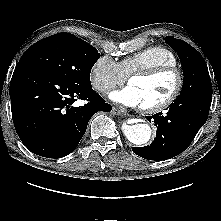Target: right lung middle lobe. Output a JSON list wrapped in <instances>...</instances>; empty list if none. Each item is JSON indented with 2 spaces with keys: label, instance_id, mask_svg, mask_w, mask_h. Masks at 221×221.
<instances>
[{
  "label": "right lung middle lobe",
  "instance_id": "dd1d6c3e",
  "mask_svg": "<svg viewBox=\"0 0 221 221\" xmlns=\"http://www.w3.org/2000/svg\"><path fill=\"white\" fill-rule=\"evenodd\" d=\"M99 58L97 49L89 43L62 32L33 44L18 64H31L66 82L89 87L91 69Z\"/></svg>",
  "mask_w": 221,
  "mask_h": 221
}]
</instances>
